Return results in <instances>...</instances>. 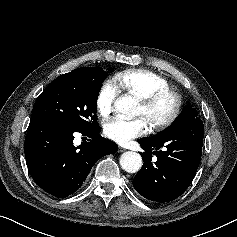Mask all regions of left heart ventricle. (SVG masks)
<instances>
[{
	"mask_svg": "<svg viewBox=\"0 0 237 237\" xmlns=\"http://www.w3.org/2000/svg\"><path fill=\"white\" fill-rule=\"evenodd\" d=\"M171 108V101L168 99L162 100L156 107L151 111L150 116L153 118H159L166 115ZM138 116H143L148 121V114L146 113L144 107L139 103L137 108Z\"/></svg>",
	"mask_w": 237,
	"mask_h": 237,
	"instance_id": "1",
	"label": "left heart ventricle"
}]
</instances>
